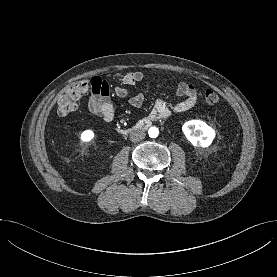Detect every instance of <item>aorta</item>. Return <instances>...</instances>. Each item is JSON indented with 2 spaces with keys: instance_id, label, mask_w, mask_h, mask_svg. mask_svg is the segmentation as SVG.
Here are the masks:
<instances>
[{
  "instance_id": "1",
  "label": "aorta",
  "mask_w": 277,
  "mask_h": 277,
  "mask_svg": "<svg viewBox=\"0 0 277 277\" xmlns=\"http://www.w3.org/2000/svg\"><path fill=\"white\" fill-rule=\"evenodd\" d=\"M148 134L151 138H156L159 134V130L157 127H151L149 130H148Z\"/></svg>"
}]
</instances>
